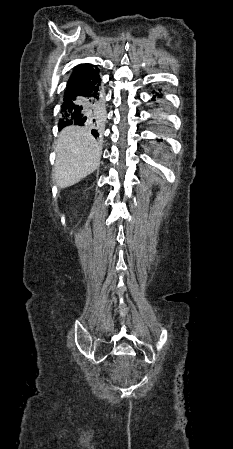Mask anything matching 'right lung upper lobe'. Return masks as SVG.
I'll return each mask as SVG.
<instances>
[{
    "instance_id": "cb5924a9",
    "label": "right lung upper lobe",
    "mask_w": 233,
    "mask_h": 449,
    "mask_svg": "<svg viewBox=\"0 0 233 449\" xmlns=\"http://www.w3.org/2000/svg\"><path fill=\"white\" fill-rule=\"evenodd\" d=\"M90 66H91L90 64H80V65H78V66L74 69V71H73V73H72L70 79L79 76L80 74H82L83 72H85L86 70H88V69L90 68Z\"/></svg>"
}]
</instances>
